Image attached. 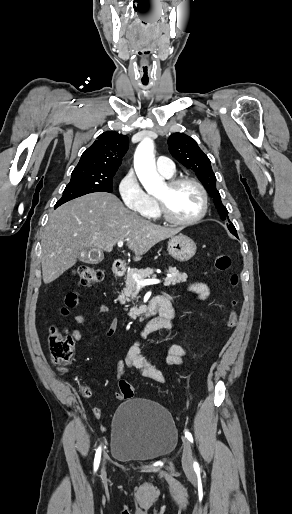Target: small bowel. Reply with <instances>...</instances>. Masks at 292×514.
<instances>
[{"label":"small bowel","mask_w":292,"mask_h":514,"mask_svg":"<svg viewBox=\"0 0 292 514\" xmlns=\"http://www.w3.org/2000/svg\"><path fill=\"white\" fill-rule=\"evenodd\" d=\"M189 291L199 295L200 297H205L208 295L209 290L205 283L203 282H194L190 285ZM96 309L99 313L105 315L109 313V306L105 303H100L96 306ZM177 315V311L172 307L171 314L169 317H165L162 315V326L164 329H172L175 327V317ZM73 322L76 325H86L93 324V319L87 315H76L73 319ZM117 329V322L114 321L106 330V336H112ZM70 335L72 339L78 343H81L85 340L84 334L76 328L70 329ZM187 349L180 345H171L167 348V357L166 362L169 366H176L182 363L183 358L187 354ZM132 365L138 373L148 379H151L156 382L163 383L166 380L163 372L156 367L153 363L148 361L139 355L138 350L136 348L128 351L126 357L124 359H118L115 363V376L116 380L119 383L126 382L125 381V367L126 365ZM102 398H106L108 393L106 391H102L100 393ZM115 400L118 402H123L125 397L123 395H119V393H115Z\"/></svg>","instance_id":"small-bowel-1"}]
</instances>
